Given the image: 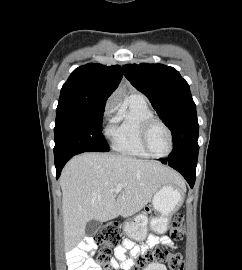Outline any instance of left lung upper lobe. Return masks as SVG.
I'll list each match as a JSON object with an SVG mask.
<instances>
[{
	"mask_svg": "<svg viewBox=\"0 0 242 270\" xmlns=\"http://www.w3.org/2000/svg\"><path fill=\"white\" fill-rule=\"evenodd\" d=\"M125 77L145 94L163 122L171 130L173 151L168 161L180 162L198 157L196 105L190 88L179 72L162 64L123 66Z\"/></svg>",
	"mask_w": 242,
	"mask_h": 270,
	"instance_id": "1",
	"label": "left lung upper lobe"
}]
</instances>
